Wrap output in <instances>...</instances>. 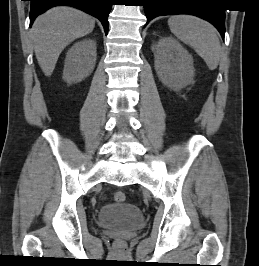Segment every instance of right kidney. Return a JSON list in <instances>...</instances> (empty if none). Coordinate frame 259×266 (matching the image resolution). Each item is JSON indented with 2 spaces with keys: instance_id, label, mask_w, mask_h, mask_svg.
Wrapping results in <instances>:
<instances>
[{
  "instance_id": "ca27d5eb",
  "label": "right kidney",
  "mask_w": 259,
  "mask_h": 266,
  "mask_svg": "<svg viewBox=\"0 0 259 266\" xmlns=\"http://www.w3.org/2000/svg\"><path fill=\"white\" fill-rule=\"evenodd\" d=\"M96 55L95 40L88 38L76 42L66 55L64 81L75 83L87 77L95 67Z\"/></svg>"
}]
</instances>
